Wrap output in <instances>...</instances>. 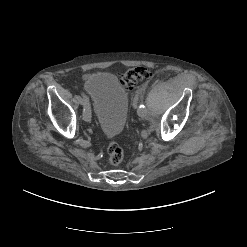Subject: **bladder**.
Wrapping results in <instances>:
<instances>
[{
	"mask_svg": "<svg viewBox=\"0 0 247 247\" xmlns=\"http://www.w3.org/2000/svg\"><path fill=\"white\" fill-rule=\"evenodd\" d=\"M97 124L107 136L120 133L127 122L129 96L118 78L108 72L90 74L85 81Z\"/></svg>",
	"mask_w": 247,
	"mask_h": 247,
	"instance_id": "obj_1",
	"label": "bladder"
}]
</instances>
